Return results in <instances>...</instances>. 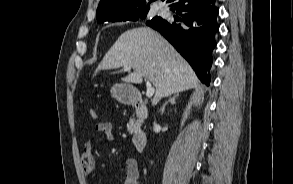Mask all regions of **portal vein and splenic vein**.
Instances as JSON below:
<instances>
[{"instance_id":"portal-vein-and-splenic-vein-1","label":"portal vein and splenic vein","mask_w":293,"mask_h":184,"mask_svg":"<svg viewBox=\"0 0 293 184\" xmlns=\"http://www.w3.org/2000/svg\"><path fill=\"white\" fill-rule=\"evenodd\" d=\"M124 70L126 71H130V67H124ZM151 80L147 78L146 80V86H147V90H146V96L148 98L152 97L155 93V88L151 85Z\"/></svg>"}]
</instances>
